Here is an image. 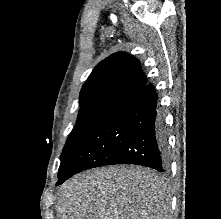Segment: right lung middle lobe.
Here are the masks:
<instances>
[{
    "instance_id": "dd1d6c3e",
    "label": "right lung middle lobe",
    "mask_w": 221,
    "mask_h": 219,
    "mask_svg": "<svg viewBox=\"0 0 221 219\" xmlns=\"http://www.w3.org/2000/svg\"><path fill=\"white\" fill-rule=\"evenodd\" d=\"M120 102L99 100L80 105L76 124L66 141L60 160L63 161L81 144Z\"/></svg>"
}]
</instances>
